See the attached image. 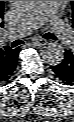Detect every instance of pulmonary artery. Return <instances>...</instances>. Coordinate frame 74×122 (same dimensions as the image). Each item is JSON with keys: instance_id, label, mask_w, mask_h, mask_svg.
Instances as JSON below:
<instances>
[{"instance_id": "1", "label": "pulmonary artery", "mask_w": 74, "mask_h": 122, "mask_svg": "<svg viewBox=\"0 0 74 122\" xmlns=\"http://www.w3.org/2000/svg\"><path fill=\"white\" fill-rule=\"evenodd\" d=\"M58 1H38L36 6L25 14L8 30V38L25 36L49 22L54 34L64 46H71L74 38L67 27L61 22L57 13Z\"/></svg>"}]
</instances>
